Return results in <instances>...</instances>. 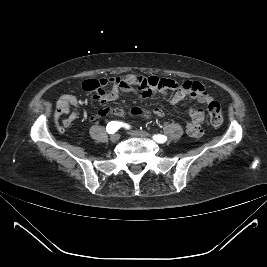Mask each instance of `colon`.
Instances as JSON below:
<instances>
[{
	"label": "colon",
	"mask_w": 267,
	"mask_h": 267,
	"mask_svg": "<svg viewBox=\"0 0 267 267\" xmlns=\"http://www.w3.org/2000/svg\"><path fill=\"white\" fill-rule=\"evenodd\" d=\"M116 113H120L121 109H116ZM130 113L134 116H143L147 117L149 115V112L145 109L134 107L131 109ZM208 115L209 119L212 125L214 126H220L223 122V115L221 111L220 104L216 101H211L208 104Z\"/></svg>",
	"instance_id": "colon-1"
}]
</instances>
